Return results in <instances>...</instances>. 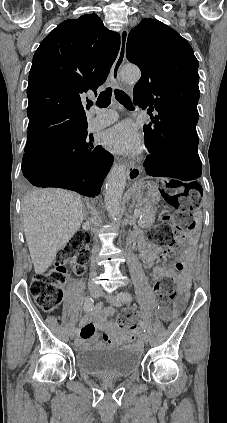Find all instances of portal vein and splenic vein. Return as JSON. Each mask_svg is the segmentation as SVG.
Instances as JSON below:
<instances>
[{
	"mask_svg": "<svg viewBox=\"0 0 227 423\" xmlns=\"http://www.w3.org/2000/svg\"><path fill=\"white\" fill-rule=\"evenodd\" d=\"M140 213H141V210L140 209L135 210L134 211V217L135 218H138L140 216Z\"/></svg>",
	"mask_w": 227,
	"mask_h": 423,
	"instance_id": "18ae733b",
	"label": "portal vein and splenic vein"
}]
</instances>
